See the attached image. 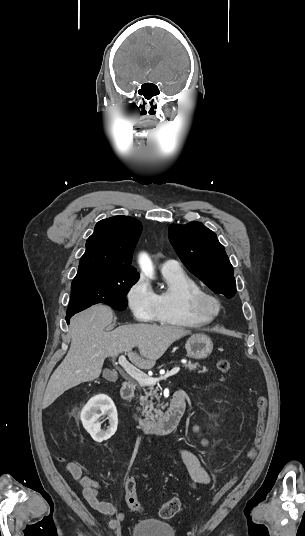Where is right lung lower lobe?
I'll use <instances>...</instances> for the list:
<instances>
[{"label": "right lung lower lobe", "mask_w": 305, "mask_h": 536, "mask_svg": "<svg viewBox=\"0 0 305 536\" xmlns=\"http://www.w3.org/2000/svg\"><path fill=\"white\" fill-rule=\"evenodd\" d=\"M76 313H77V312H70V313L67 312L66 321H67L68 324H69V320H70V318H71L74 314H76Z\"/></svg>", "instance_id": "right-lung-lower-lobe-1"}]
</instances>
